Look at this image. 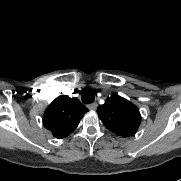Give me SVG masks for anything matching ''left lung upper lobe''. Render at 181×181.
<instances>
[{
    "mask_svg": "<svg viewBox=\"0 0 181 181\" xmlns=\"http://www.w3.org/2000/svg\"><path fill=\"white\" fill-rule=\"evenodd\" d=\"M97 113L110 131L122 137L133 136L141 123L139 109L116 93L98 107Z\"/></svg>",
    "mask_w": 181,
    "mask_h": 181,
    "instance_id": "left-lung-upper-lobe-1",
    "label": "left lung upper lobe"
}]
</instances>
